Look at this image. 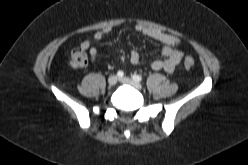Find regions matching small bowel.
<instances>
[{
	"instance_id": "obj_1",
	"label": "small bowel",
	"mask_w": 248,
	"mask_h": 165,
	"mask_svg": "<svg viewBox=\"0 0 248 165\" xmlns=\"http://www.w3.org/2000/svg\"><path fill=\"white\" fill-rule=\"evenodd\" d=\"M136 31L160 42L163 46L162 54L164 59L153 60L150 63L151 68L154 70H164L168 73H172L184 56L183 50L181 49L180 39L175 35L142 25H137ZM109 32L110 29L104 27L94 34L93 39L95 41H99ZM80 48L83 50H88L91 61L95 62L97 58V49L91 46V41L89 39L82 40L80 43ZM129 61L132 65H138L140 63V54L136 50L131 51L129 54Z\"/></svg>"
}]
</instances>
